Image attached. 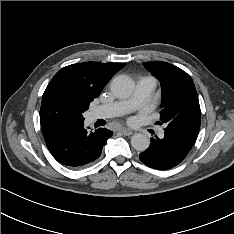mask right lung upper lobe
I'll list each match as a JSON object with an SVG mask.
<instances>
[{"label": "right lung upper lobe", "mask_w": 234, "mask_h": 234, "mask_svg": "<svg viewBox=\"0 0 234 234\" xmlns=\"http://www.w3.org/2000/svg\"><path fill=\"white\" fill-rule=\"evenodd\" d=\"M125 66L124 63L85 62L59 70L44 93L59 91L84 103L97 98L112 76Z\"/></svg>", "instance_id": "obj_1"}]
</instances>
